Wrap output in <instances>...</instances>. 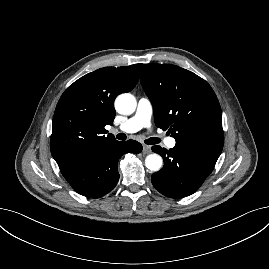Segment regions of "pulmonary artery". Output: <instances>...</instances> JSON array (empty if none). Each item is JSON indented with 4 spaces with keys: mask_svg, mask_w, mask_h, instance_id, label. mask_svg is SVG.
I'll return each mask as SVG.
<instances>
[{
    "mask_svg": "<svg viewBox=\"0 0 269 269\" xmlns=\"http://www.w3.org/2000/svg\"><path fill=\"white\" fill-rule=\"evenodd\" d=\"M152 104L151 101L146 97H141L138 101L137 109L135 114L122 123L117 131L124 133H134L144 127L150 126L152 117ZM164 143L168 148H174L176 140L172 137L164 139Z\"/></svg>",
    "mask_w": 269,
    "mask_h": 269,
    "instance_id": "1",
    "label": "pulmonary artery"
}]
</instances>
